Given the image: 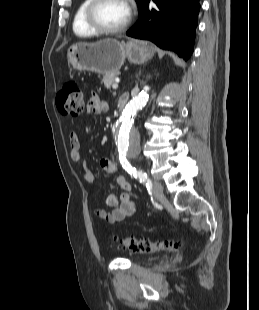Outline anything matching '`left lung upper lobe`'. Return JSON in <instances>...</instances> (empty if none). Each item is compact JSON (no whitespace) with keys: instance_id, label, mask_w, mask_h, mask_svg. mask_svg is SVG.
<instances>
[{"instance_id":"left-lung-upper-lobe-1","label":"left lung upper lobe","mask_w":259,"mask_h":310,"mask_svg":"<svg viewBox=\"0 0 259 310\" xmlns=\"http://www.w3.org/2000/svg\"><path fill=\"white\" fill-rule=\"evenodd\" d=\"M141 1H142V0H136V2H137L138 5L140 4Z\"/></svg>"}]
</instances>
